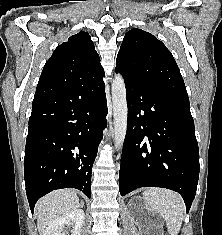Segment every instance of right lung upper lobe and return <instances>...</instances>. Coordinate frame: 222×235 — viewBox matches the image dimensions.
Masks as SVG:
<instances>
[{
	"mask_svg": "<svg viewBox=\"0 0 222 235\" xmlns=\"http://www.w3.org/2000/svg\"><path fill=\"white\" fill-rule=\"evenodd\" d=\"M102 74L104 70L90 35L80 31L55 49L43 68L38 84L71 85Z\"/></svg>",
	"mask_w": 222,
	"mask_h": 235,
	"instance_id": "right-lung-upper-lobe-1",
	"label": "right lung upper lobe"
}]
</instances>
